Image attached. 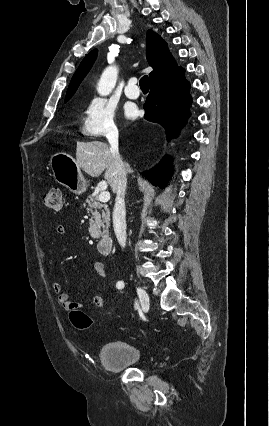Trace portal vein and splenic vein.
<instances>
[{
    "instance_id": "portal-vein-and-splenic-vein-1",
    "label": "portal vein and splenic vein",
    "mask_w": 269,
    "mask_h": 426,
    "mask_svg": "<svg viewBox=\"0 0 269 426\" xmlns=\"http://www.w3.org/2000/svg\"><path fill=\"white\" fill-rule=\"evenodd\" d=\"M98 199L100 202H108L110 200V193L102 189V192H100Z\"/></svg>"
}]
</instances>
